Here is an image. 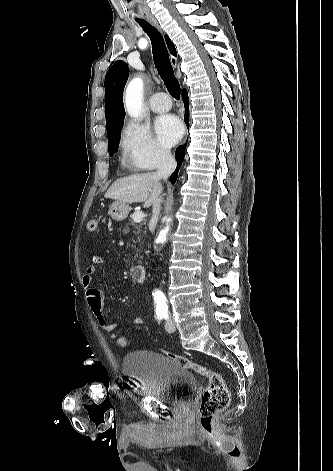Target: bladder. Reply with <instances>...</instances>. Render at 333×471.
<instances>
[{
    "instance_id": "bladder-1",
    "label": "bladder",
    "mask_w": 333,
    "mask_h": 471,
    "mask_svg": "<svg viewBox=\"0 0 333 471\" xmlns=\"http://www.w3.org/2000/svg\"><path fill=\"white\" fill-rule=\"evenodd\" d=\"M126 377L139 383L137 392L166 405H179L188 400L197 388L194 375L166 355L137 350L128 353L122 363Z\"/></svg>"
}]
</instances>
